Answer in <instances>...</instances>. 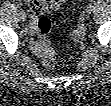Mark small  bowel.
I'll use <instances>...</instances> for the list:
<instances>
[{
  "label": "small bowel",
  "mask_w": 111,
  "mask_h": 106,
  "mask_svg": "<svg viewBox=\"0 0 111 106\" xmlns=\"http://www.w3.org/2000/svg\"><path fill=\"white\" fill-rule=\"evenodd\" d=\"M65 2V0L32 1L30 2V7L34 14H37L41 10L46 12H53L56 11Z\"/></svg>",
  "instance_id": "obj_1"
}]
</instances>
